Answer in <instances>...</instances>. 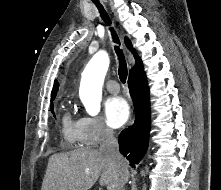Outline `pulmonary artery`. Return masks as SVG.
I'll return each instance as SVG.
<instances>
[{"label": "pulmonary artery", "mask_w": 221, "mask_h": 190, "mask_svg": "<svg viewBox=\"0 0 221 190\" xmlns=\"http://www.w3.org/2000/svg\"><path fill=\"white\" fill-rule=\"evenodd\" d=\"M106 88L110 93L116 94L119 92V84L115 80H109L106 82Z\"/></svg>", "instance_id": "pulmonary-artery-1"}]
</instances>
